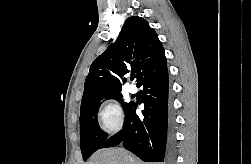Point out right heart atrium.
Masks as SVG:
<instances>
[{"label":"right heart atrium","mask_w":251,"mask_h":164,"mask_svg":"<svg viewBox=\"0 0 251 164\" xmlns=\"http://www.w3.org/2000/svg\"><path fill=\"white\" fill-rule=\"evenodd\" d=\"M97 118L102 131L108 136H113L121 131L125 122L121 107L111 100L100 107Z\"/></svg>","instance_id":"1"}]
</instances>
